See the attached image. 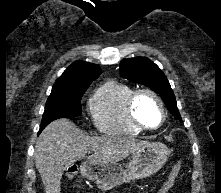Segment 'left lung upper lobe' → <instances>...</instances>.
<instances>
[{
    "label": "left lung upper lobe",
    "mask_w": 221,
    "mask_h": 193,
    "mask_svg": "<svg viewBox=\"0 0 221 193\" xmlns=\"http://www.w3.org/2000/svg\"><path fill=\"white\" fill-rule=\"evenodd\" d=\"M123 78L143 84L161 95L170 113L181 120L174 93L160 68L146 57L123 59L120 63Z\"/></svg>",
    "instance_id": "1"
}]
</instances>
